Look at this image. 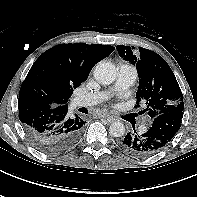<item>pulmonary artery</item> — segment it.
<instances>
[{"mask_svg": "<svg viewBox=\"0 0 197 197\" xmlns=\"http://www.w3.org/2000/svg\"><path fill=\"white\" fill-rule=\"evenodd\" d=\"M138 76L137 69L130 64L124 63L118 67L117 79L114 85V90L122 91L134 84ZM107 92L86 93L76 98V104L79 106L96 105L108 98ZM147 126L140 127L142 133L146 132Z\"/></svg>", "mask_w": 197, "mask_h": 197, "instance_id": "pulmonary-artery-1", "label": "pulmonary artery"}]
</instances>
